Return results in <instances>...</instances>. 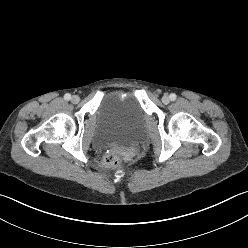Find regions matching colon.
I'll return each mask as SVG.
<instances>
[{"label":"colon","instance_id":"5ec220e1","mask_svg":"<svg viewBox=\"0 0 248 248\" xmlns=\"http://www.w3.org/2000/svg\"><path fill=\"white\" fill-rule=\"evenodd\" d=\"M104 164L111 169H120L122 165V156L115 151L109 152L104 157Z\"/></svg>","mask_w":248,"mask_h":248}]
</instances>
